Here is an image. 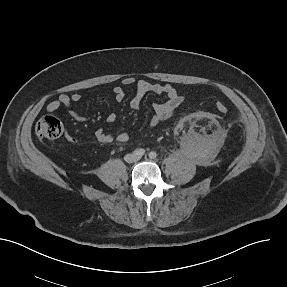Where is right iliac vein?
Wrapping results in <instances>:
<instances>
[{
  "mask_svg": "<svg viewBox=\"0 0 287 287\" xmlns=\"http://www.w3.org/2000/svg\"><path fill=\"white\" fill-rule=\"evenodd\" d=\"M134 159V155H127L126 160L127 161H132Z\"/></svg>",
  "mask_w": 287,
  "mask_h": 287,
  "instance_id": "right-iliac-vein-1",
  "label": "right iliac vein"
}]
</instances>
